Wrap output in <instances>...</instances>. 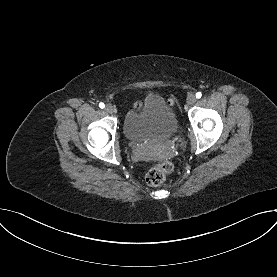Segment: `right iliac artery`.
Here are the masks:
<instances>
[{
    "label": "right iliac artery",
    "instance_id": "right-iliac-artery-1",
    "mask_svg": "<svg viewBox=\"0 0 277 277\" xmlns=\"http://www.w3.org/2000/svg\"><path fill=\"white\" fill-rule=\"evenodd\" d=\"M99 107L103 109L105 107L104 103H100Z\"/></svg>",
    "mask_w": 277,
    "mask_h": 277
}]
</instances>
